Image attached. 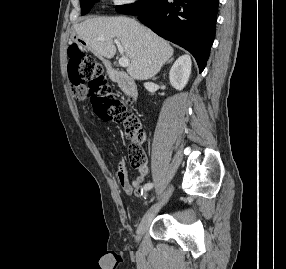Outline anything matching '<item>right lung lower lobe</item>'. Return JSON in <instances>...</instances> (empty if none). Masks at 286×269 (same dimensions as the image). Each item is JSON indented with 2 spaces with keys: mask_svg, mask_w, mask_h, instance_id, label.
Here are the masks:
<instances>
[{
  "mask_svg": "<svg viewBox=\"0 0 286 269\" xmlns=\"http://www.w3.org/2000/svg\"><path fill=\"white\" fill-rule=\"evenodd\" d=\"M219 0H158L138 19L159 36L180 45L206 66L214 41Z\"/></svg>",
  "mask_w": 286,
  "mask_h": 269,
  "instance_id": "1",
  "label": "right lung lower lobe"
}]
</instances>
